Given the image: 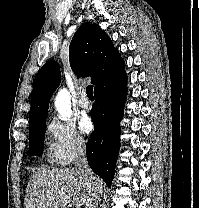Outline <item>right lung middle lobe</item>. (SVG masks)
<instances>
[{"label": "right lung middle lobe", "mask_w": 199, "mask_h": 208, "mask_svg": "<svg viewBox=\"0 0 199 208\" xmlns=\"http://www.w3.org/2000/svg\"><path fill=\"white\" fill-rule=\"evenodd\" d=\"M45 123L29 131V154L40 156L43 152Z\"/></svg>", "instance_id": "obj_1"}]
</instances>
